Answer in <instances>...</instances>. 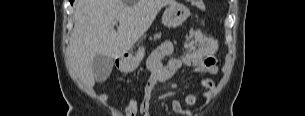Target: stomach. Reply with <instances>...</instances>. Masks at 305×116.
<instances>
[{
  "label": "stomach",
  "instance_id": "obj_1",
  "mask_svg": "<svg viewBox=\"0 0 305 116\" xmlns=\"http://www.w3.org/2000/svg\"><path fill=\"white\" fill-rule=\"evenodd\" d=\"M190 15L189 9L180 3L170 4L162 15V24L168 28L180 26ZM145 55V48L140 46L134 55L123 57L119 62V70L133 72L141 63Z\"/></svg>",
  "mask_w": 305,
  "mask_h": 116
}]
</instances>
